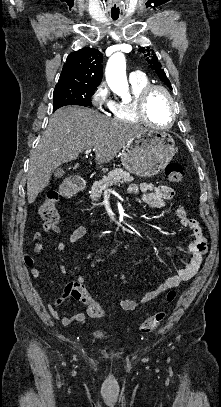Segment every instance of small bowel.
<instances>
[{"label":"small bowel","instance_id":"obj_1","mask_svg":"<svg viewBox=\"0 0 221 407\" xmlns=\"http://www.w3.org/2000/svg\"><path fill=\"white\" fill-rule=\"evenodd\" d=\"M130 194H139L141 200L150 207L156 209H163L169 201H171L174 196V190L166 185H156L152 183H142L138 185H131L129 189ZM175 214L178 220L180 221L181 225L190 231L191 241L189 243V258L184 260L182 263L181 268L178 272L168 277L164 282L155 285L152 287L148 292L144 294V296L140 300H131V299H122L119 298V305L122 310L124 311H131L137 308L138 306L145 304L154 298L158 297L160 294L177 288L182 283L191 279L195 273L197 272L201 262L203 255L207 251V240L204 237L202 230L196 220L190 218L187 214V210L184 206L178 205L175 209ZM60 232V230L58 231ZM57 232V233H58ZM87 235V227L79 226L72 231L69 237L70 243H76L83 237ZM41 234L36 232L32 236V240L35 242L33 252L39 253L42 249V242H41ZM58 252H65L66 245L63 242H59L56 246ZM22 259L26 266H28L29 273L32 277H39L41 275V271L38 267L34 266L35 258L32 254L28 252H24L22 254ZM58 271L61 274H64L69 277V281L66 284V287L62 293V295L57 298L52 304L48 305V309L53 317L60 320L63 325H69L73 321H83L86 317L85 313L78 312L70 317L60 316L57 311V308L67 299L73 298L80 301L77 297L74 296L73 292L71 291V286L74 282H81L85 284V277L81 274L74 275L72 274L68 268L64 265L58 266ZM128 272L126 270H121L118 273V280L124 286L129 288V281L127 278Z\"/></svg>","mask_w":221,"mask_h":407}]
</instances>
